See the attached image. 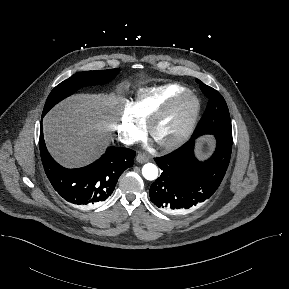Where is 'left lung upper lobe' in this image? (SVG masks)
<instances>
[{"mask_svg": "<svg viewBox=\"0 0 289 289\" xmlns=\"http://www.w3.org/2000/svg\"><path fill=\"white\" fill-rule=\"evenodd\" d=\"M202 92L209 98L208 105L193 136L203 134H232L229 110L222 95L200 80H196Z\"/></svg>", "mask_w": 289, "mask_h": 289, "instance_id": "1", "label": "left lung upper lobe"}]
</instances>
